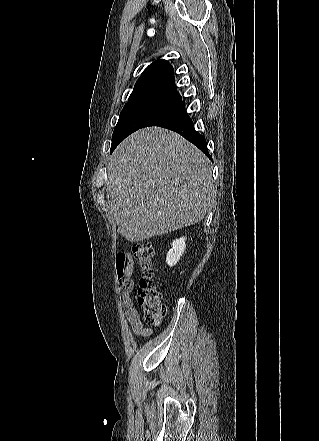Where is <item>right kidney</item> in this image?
Here are the masks:
<instances>
[{
  "instance_id": "right-kidney-1",
  "label": "right kidney",
  "mask_w": 319,
  "mask_h": 441,
  "mask_svg": "<svg viewBox=\"0 0 319 441\" xmlns=\"http://www.w3.org/2000/svg\"><path fill=\"white\" fill-rule=\"evenodd\" d=\"M186 238L181 237L179 239H176L172 242V248L169 249L167 256H166V262L171 267L177 264L180 257L184 253V250L186 248L185 244Z\"/></svg>"
}]
</instances>
